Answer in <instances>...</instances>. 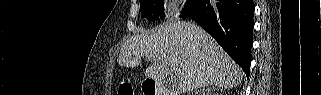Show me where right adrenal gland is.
<instances>
[{"mask_svg": "<svg viewBox=\"0 0 321 95\" xmlns=\"http://www.w3.org/2000/svg\"><path fill=\"white\" fill-rule=\"evenodd\" d=\"M215 90H223V88H220V87H214V86H208V87H203L202 89H199V90H196L195 91V94H198V93H202L203 95H205V93H208L209 94V92L210 91H215Z\"/></svg>", "mask_w": 321, "mask_h": 95, "instance_id": "right-adrenal-gland-1", "label": "right adrenal gland"}]
</instances>
